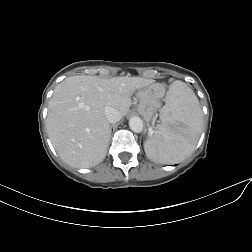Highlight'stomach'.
<instances>
[{
	"instance_id": "0dacf381",
	"label": "stomach",
	"mask_w": 252,
	"mask_h": 252,
	"mask_svg": "<svg viewBox=\"0 0 252 252\" xmlns=\"http://www.w3.org/2000/svg\"><path fill=\"white\" fill-rule=\"evenodd\" d=\"M165 94L163 85L154 83L141 89L136 94L137 111L147 120L150 121L161 105V99ZM172 130L173 127L169 126Z\"/></svg>"
}]
</instances>
